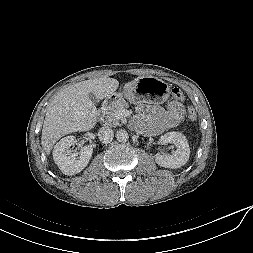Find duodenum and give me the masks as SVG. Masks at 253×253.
Returning <instances> with one entry per match:
<instances>
[{"label": "duodenum", "mask_w": 253, "mask_h": 253, "mask_svg": "<svg viewBox=\"0 0 253 253\" xmlns=\"http://www.w3.org/2000/svg\"><path fill=\"white\" fill-rule=\"evenodd\" d=\"M115 97L111 96L108 99H106L103 104L101 109L99 110V115H102L104 113V111L114 102Z\"/></svg>", "instance_id": "1"}]
</instances>
